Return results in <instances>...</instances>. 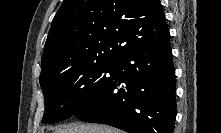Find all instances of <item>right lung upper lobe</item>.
<instances>
[{
	"label": "right lung upper lobe",
	"mask_w": 221,
	"mask_h": 133,
	"mask_svg": "<svg viewBox=\"0 0 221 133\" xmlns=\"http://www.w3.org/2000/svg\"><path fill=\"white\" fill-rule=\"evenodd\" d=\"M169 37L159 0H64L45 43L41 75L61 65L111 63Z\"/></svg>",
	"instance_id": "right-lung-upper-lobe-1"
}]
</instances>
